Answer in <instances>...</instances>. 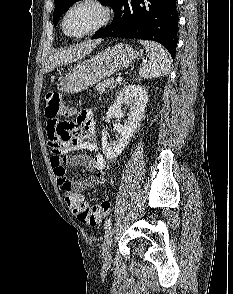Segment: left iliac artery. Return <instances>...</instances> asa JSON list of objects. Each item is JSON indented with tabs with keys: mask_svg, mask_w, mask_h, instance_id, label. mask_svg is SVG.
Listing matches in <instances>:
<instances>
[{
	"mask_svg": "<svg viewBox=\"0 0 233 294\" xmlns=\"http://www.w3.org/2000/svg\"><path fill=\"white\" fill-rule=\"evenodd\" d=\"M111 220L109 219V220H107L106 222H105V224H104V229L106 230V231H108V230H110L111 229Z\"/></svg>",
	"mask_w": 233,
	"mask_h": 294,
	"instance_id": "1",
	"label": "left iliac artery"
}]
</instances>
